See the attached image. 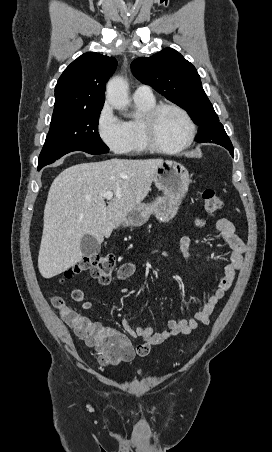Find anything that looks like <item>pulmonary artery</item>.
Returning <instances> with one entry per match:
<instances>
[{
    "label": "pulmonary artery",
    "mask_w": 272,
    "mask_h": 452,
    "mask_svg": "<svg viewBox=\"0 0 272 452\" xmlns=\"http://www.w3.org/2000/svg\"><path fill=\"white\" fill-rule=\"evenodd\" d=\"M153 92L150 86L140 85L134 91V98H153Z\"/></svg>",
    "instance_id": "pulmonary-artery-1"
}]
</instances>
